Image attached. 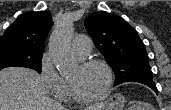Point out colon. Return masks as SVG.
<instances>
[{"mask_svg":"<svg viewBox=\"0 0 171 110\" xmlns=\"http://www.w3.org/2000/svg\"><path fill=\"white\" fill-rule=\"evenodd\" d=\"M129 110H135V106H131Z\"/></svg>","mask_w":171,"mask_h":110,"instance_id":"colon-1","label":"colon"}]
</instances>
